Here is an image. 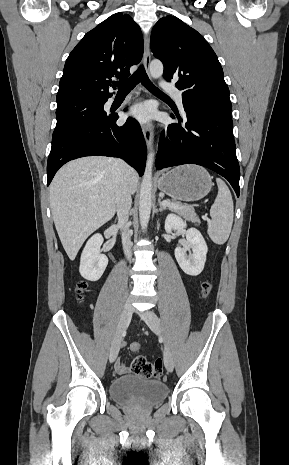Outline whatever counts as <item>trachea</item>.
<instances>
[{
    "instance_id": "3493384b",
    "label": "trachea",
    "mask_w": 289,
    "mask_h": 465,
    "mask_svg": "<svg viewBox=\"0 0 289 465\" xmlns=\"http://www.w3.org/2000/svg\"><path fill=\"white\" fill-rule=\"evenodd\" d=\"M139 82L152 93L168 97L150 81L142 65L139 66L137 71L129 79L123 82H116L115 84L118 86L119 92H126L132 90Z\"/></svg>"
}]
</instances>
